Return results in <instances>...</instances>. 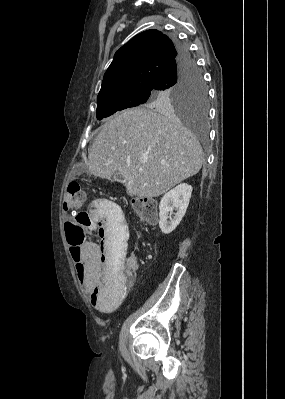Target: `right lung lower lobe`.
Returning a JSON list of instances; mask_svg holds the SVG:
<instances>
[{
    "instance_id": "right-lung-lower-lobe-1",
    "label": "right lung lower lobe",
    "mask_w": 285,
    "mask_h": 399,
    "mask_svg": "<svg viewBox=\"0 0 285 399\" xmlns=\"http://www.w3.org/2000/svg\"><path fill=\"white\" fill-rule=\"evenodd\" d=\"M177 57L161 73L154 85V90H161L174 85L184 72L195 65L188 48L179 42L175 43Z\"/></svg>"
}]
</instances>
